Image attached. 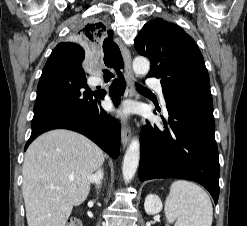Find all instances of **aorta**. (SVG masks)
I'll return each mask as SVG.
<instances>
[{"label":"aorta","instance_id":"obj_1","mask_svg":"<svg viewBox=\"0 0 247 226\" xmlns=\"http://www.w3.org/2000/svg\"><path fill=\"white\" fill-rule=\"evenodd\" d=\"M150 62L147 58L138 56L133 60V71L137 76H144L149 72ZM140 143L133 138L123 159L122 174L125 182H130L139 165Z\"/></svg>","mask_w":247,"mask_h":226}]
</instances>
